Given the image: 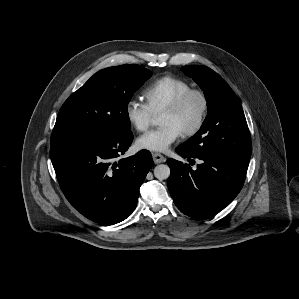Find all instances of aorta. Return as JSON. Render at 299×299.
Wrapping results in <instances>:
<instances>
[{"label":"aorta","mask_w":299,"mask_h":299,"mask_svg":"<svg viewBox=\"0 0 299 299\" xmlns=\"http://www.w3.org/2000/svg\"><path fill=\"white\" fill-rule=\"evenodd\" d=\"M153 124L158 125L159 120H153ZM154 176L159 180H165L170 176V168L166 164L157 165L154 168Z\"/></svg>","instance_id":"obj_1"}]
</instances>
